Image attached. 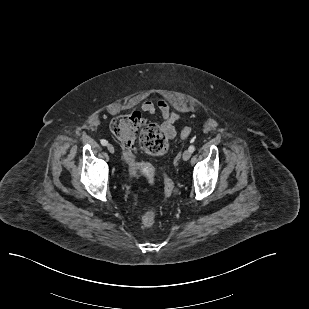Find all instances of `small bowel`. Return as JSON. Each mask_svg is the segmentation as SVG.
<instances>
[{"mask_svg":"<svg viewBox=\"0 0 309 309\" xmlns=\"http://www.w3.org/2000/svg\"><path fill=\"white\" fill-rule=\"evenodd\" d=\"M143 112L153 115L157 110L161 113L162 123L161 128L164 131L165 135L169 139H173L177 132L174 126V123L179 120L180 114L171 110L170 103L166 99H160L156 104L152 101H145L141 105ZM126 159L130 163L132 168H135V158L132 153L128 152L126 154Z\"/></svg>","mask_w":309,"mask_h":309,"instance_id":"c3829d8e","label":"small bowel"}]
</instances>
